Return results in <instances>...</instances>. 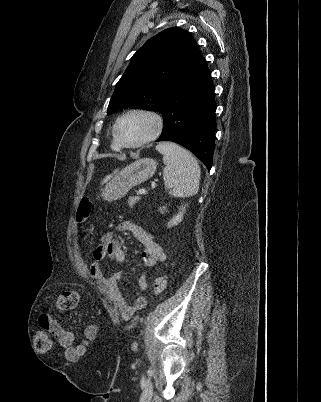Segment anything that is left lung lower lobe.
I'll return each mask as SVG.
<instances>
[{
  "instance_id": "left-lung-lower-lobe-1",
  "label": "left lung lower lobe",
  "mask_w": 321,
  "mask_h": 402,
  "mask_svg": "<svg viewBox=\"0 0 321 402\" xmlns=\"http://www.w3.org/2000/svg\"><path fill=\"white\" fill-rule=\"evenodd\" d=\"M214 85L206 61L195 68L168 94L161 113L164 131L156 141H172L194 153L212 167L215 147L216 102Z\"/></svg>"
}]
</instances>
